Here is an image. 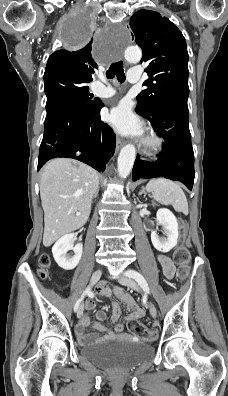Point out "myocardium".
Returning a JSON list of instances; mask_svg holds the SVG:
<instances>
[{
    "label": "myocardium",
    "mask_w": 228,
    "mask_h": 396,
    "mask_svg": "<svg viewBox=\"0 0 228 396\" xmlns=\"http://www.w3.org/2000/svg\"><path fill=\"white\" fill-rule=\"evenodd\" d=\"M162 139L155 133H149L142 141V149L146 154L153 155L160 151Z\"/></svg>",
    "instance_id": "myocardium-1"
}]
</instances>
